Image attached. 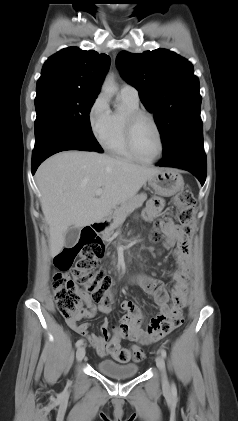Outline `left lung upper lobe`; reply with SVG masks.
<instances>
[{
	"instance_id": "obj_1",
	"label": "left lung upper lobe",
	"mask_w": 238,
	"mask_h": 421,
	"mask_svg": "<svg viewBox=\"0 0 238 421\" xmlns=\"http://www.w3.org/2000/svg\"><path fill=\"white\" fill-rule=\"evenodd\" d=\"M117 67L154 114L163 155L187 134L202 129L199 80L188 60L166 49L143 54L122 51L117 55Z\"/></svg>"
}]
</instances>
